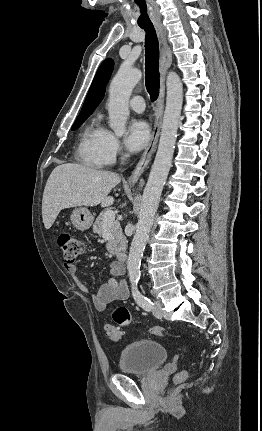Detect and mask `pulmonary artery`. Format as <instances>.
Here are the masks:
<instances>
[{"mask_svg": "<svg viewBox=\"0 0 262 431\" xmlns=\"http://www.w3.org/2000/svg\"><path fill=\"white\" fill-rule=\"evenodd\" d=\"M129 105L133 111L141 113L145 110V99L140 95H136L130 99Z\"/></svg>", "mask_w": 262, "mask_h": 431, "instance_id": "obj_1", "label": "pulmonary artery"}]
</instances>
